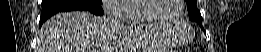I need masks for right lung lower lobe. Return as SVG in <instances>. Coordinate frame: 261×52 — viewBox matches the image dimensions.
<instances>
[{"instance_id": "right-lung-lower-lobe-1", "label": "right lung lower lobe", "mask_w": 261, "mask_h": 52, "mask_svg": "<svg viewBox=\"0 0 261 52\" xmlns=\"http://www.w3.org/2000/svg\"><path fill=\"white\" fill-rule=\"evenodd\" d=\"M72 10H87L95 15L104 14L100 5L82 0H43L39 26H41L49 17L58 12Z\"/></svg>"}]
</instances>
